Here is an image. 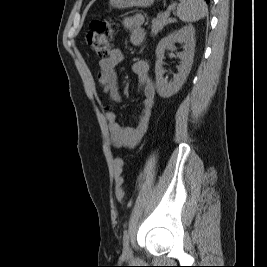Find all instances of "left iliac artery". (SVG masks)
<instances>
[{
    "instance_id": "obj_1",
    "label": "left iliac artery",
    "mask_w": 267,
    "mask_h": 267,
    "mask_svg": "<svg viewBox=\"0 0 267 267\" xmlns=\"http://www.w3.org/2000/svg\"><path fill=\"white\" fill-rule=\"evenodd\" d=\"M128 239H129V234H128L127 231H125V232H124V235H123V242H124V243L127 242Z\"/></svg>"
}]
</instances>
